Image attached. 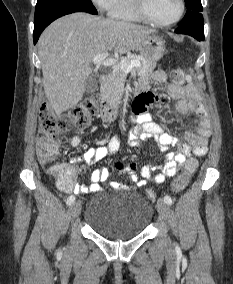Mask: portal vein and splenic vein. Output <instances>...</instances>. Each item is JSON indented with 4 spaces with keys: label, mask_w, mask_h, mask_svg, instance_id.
Here are the masks:
<instances>
[{
    "label": "portal vein and splenic vein",
    "mask_w": 233,
    "mask_h": 284,
    "mask_svg": "<svg viewBox=\"0 0 233 284\" xmlns=\"http://www.w3.org/2000/svg\"><path fill=\"white\" fill-rule=\"evenodd\" d=\"M108 56V53L98 54L93 58V63L95 65H103L105 67L119 65L120 68L125 72H129L133 67H139L141 65L140 62L136 59H132L130 61L121 60L117 64V61L115 59L109 58Z\"/></svg>",
    "instance_id": "obj_1"
}]
</instances>
